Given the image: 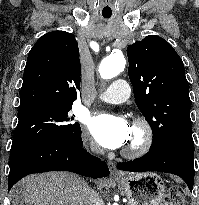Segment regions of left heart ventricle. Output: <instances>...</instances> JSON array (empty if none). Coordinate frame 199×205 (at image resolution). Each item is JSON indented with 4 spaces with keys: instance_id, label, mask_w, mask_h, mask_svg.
<instances>
[{
    "instance_id": "1",
    "label": "left heart ventricle",
    "mask_w": 199,
    "mask_h": 205,
    "mask_svg": "<svg viewBox=\"0 0 199 205\" xmlns=\"http://www.w3.org/2000/svg\"><path fill=\"white\" fill-rule=\"evenodd\" d=\"M138 138H139L138 131L134 127H132L131 128V136L126 143L127 146H131V145L135 144L137 142Z\"/></svg>"
}]
</instances>
